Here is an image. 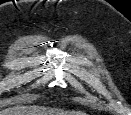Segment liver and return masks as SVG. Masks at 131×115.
Masks as SVG:
<instances>
[{
	"label": "liver",
	"mask_w": 131,
	"mask_h": 115,
	"mask_svg": "<svg viewBox=\"0 0 131 115\" xmlns=\"http://www.w3.org/2000/svg\"><path fill=\"white\" fill-rule=\"evenodd\" d=\"M53 113L61 114L62 112H54L41 107L15 106L1 111L0 115H51Z\"/></svg>",
	"instance_id": "liver-1"
}]
</instances>
